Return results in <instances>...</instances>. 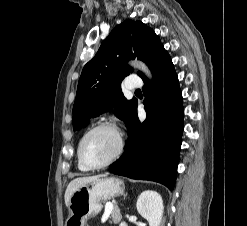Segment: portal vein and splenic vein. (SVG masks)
<instances>
[{
    "instance_id": "18ae733b",
    "label": "portal vein and splenic vein",
    "mask_w": 247,
    "mask_h": 226,
    "mask_svg": "<svg viewBox=\"0 0 247 226\" xmlns=\"http://www.w3.org/2000/svg\"><path fill=\"white\" fill-rule=\"evenodd\" d=\"M106 208H108V210H112L113 209V205L112 204H110L109 206H106Z\"/></svg>"
}]
</instances>
